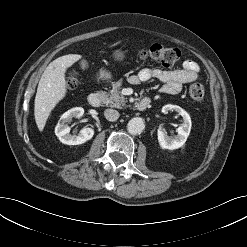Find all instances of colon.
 Returning a JSON list of instances; mask_svg holds the SVG:
<instances>
[{
    "instance_id": "1",
    "label": "colon",
    "mask_w": 247,
    "mask_h": 247,
    "mask_svg": "<svg viewBox=\"0 0 247 247\" xmlns=\"http://www.w3.org/2000/svg\"><path fill=\"white\" fill-rule=\"evenodd\" d=\"M138 57L142 60H151L164 67L173 66L180 59V51L175 47L165 46L162 44H153L138 52ZM77 85L76 77H69L67 86L74 89ZM190 98L196 102L204 98L205 90L201 83H193L188 88Z\"/></svg>"
}]
</instances>
